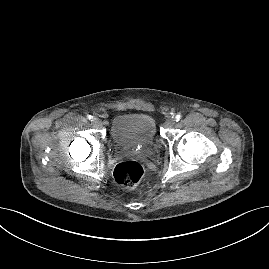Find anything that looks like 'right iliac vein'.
I'll use <instances>...</instances> for the list:
<instances>
[{
  "label": "right iliac vein",
  "mask_w": 269,
  "mask_h": 269,
  "mask_svg": "<svg viewBox=\"0 0 269 269\" xmlns=\"http://www.w3.org/2000/svg\"><path fill=\"white\" fill-rule=\"evenodd\" d=\"M93 124H94L95 126H100V125H101V120L98 119V118H94V119H93Z\"/></svg>",
  "instance_id": "obj_1"
}]
</instances>
